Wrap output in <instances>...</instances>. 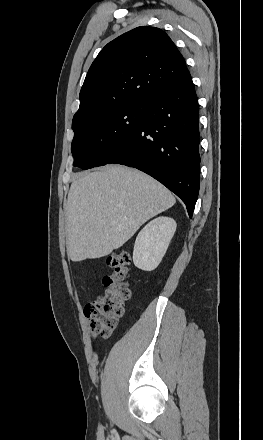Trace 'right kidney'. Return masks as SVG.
Listing matches in <instances>:
<instances>
[{
	"label": "right kidney",
	"mask_w": 263,
	"mask_h": 440,
	"mask_svg": "<svg viewBox=\"0 0 263 440\" xmlns=\"http://www.w3.org/2000/svg\"><path fill=\"white\" fill-rule=\"evenodd\" d=\"M176 226L175 220L169 217H158L150 221L136 237L134 265L144 271L154 270L165 255Z\"/></svg>",
	"instance_id": "obj_1"
}]
</instances>
